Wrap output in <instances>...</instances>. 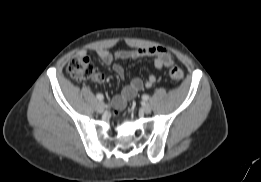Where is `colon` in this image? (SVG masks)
<instances>
[{
    "instance_id": "1",
    "label": "colon",
    "mask_w": 261,
    "mask_h": 182,
    "mask_svg": "<svg viewBox=\"0 0 261 182\" xmlns=\"http://www.w3.org/2000/svg\"><path fill=\"white\" fill-rule=\"evenodd\" d=\"M66 71L75 80H88L93 75V66L87 57L74 55L68 61ZM169 75L174 81H181L184 76L183 71L177 66L170 68Z\"/></svg>"
}]
</instances>
